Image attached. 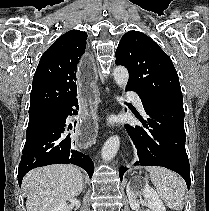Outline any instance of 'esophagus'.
Segmentation results:
<instances>
[{
	"label": "esophagus",
	"mask_w": 209,
	"mask_h": 211,
	"mask_svg": "<svg viewBox=\"0 0 209 211\" xmlns=\"http://www.w3.org/2000/svg\"><path fill=\"white\" fill-rule=\"evenodd\" d=\"M83 64H80L77 70V106H79V117L77 119L76 133H73L72 141L74 145H80V149H89V145H95V138L97 133L96 128V108L97 101H95V94L97 93L95 64L91 56H83Z\"/></svg>",
	"instance_id": "34e87169"
}]
</instances>
